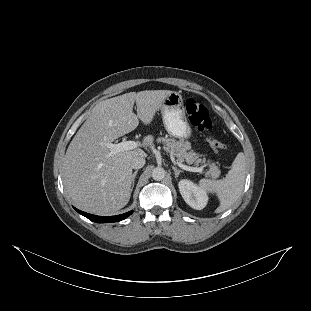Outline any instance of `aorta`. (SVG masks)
I'll return each mask as SVG.
<instances>
[{
    "label": "aorta",
    "mask_w": 311,
    "mask_h": 311,
    "mask_svg": "<svg viewBox=\"0 0 311 311\" xmlns=\"http://www.w3.org/2000/svg\"><path fill=\"white\" fill-rule=\"evenodd\" d=\"M166 172L162 167H155L152 170V178L156 181H161L165 178Z\"/></svg>",
    "instance_id": "762f6f07"
}]
</instances>
